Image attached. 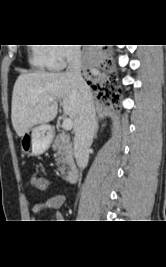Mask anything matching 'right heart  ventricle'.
Returning a JSON list of instances; mask_svg holds the SVG:
<instances>
[{"label": "right heart ventricle", "mask_w": 166, "mask_h": 267, "mask_svg": "<svg viewBox=\"0 0 166 267\" xmlns=\"http://www.w3.org/2000/svg\"><path fill=\"white\" fill-rule=\"evenodd\" d=\"M46 44H35L29 51V64L34 69L44 71L51 67L49 47Z\"/></svg>", "instance_id": "1"}]
</instances>
